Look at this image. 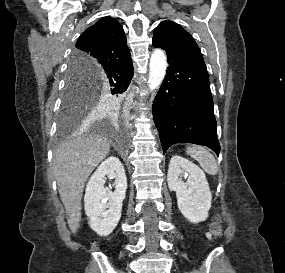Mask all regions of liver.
<instances>
[{"label": "liver", "mask_w": 285, "mask_h": 273, "mask_svg": "<svg viewBox=\"0 0 285 273\" xmlns=\"http://www.w3.org/2000/svg\"><path fill=\"white\" fill-rule=\"evenodd\" d=\"M110 146V140L103 136H76L61 144L54 154L53 172L72 233L79 228L84 185Z\"/></svg>", "instance_id": "obj_1"}]
</instances>
